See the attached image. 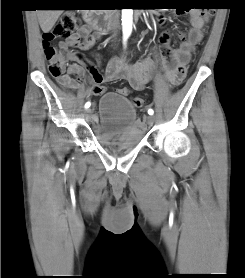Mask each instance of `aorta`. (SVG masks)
<instances>
[{
  "label": "aorta",
  "instance_id": "762f6f07",
  "mask_svg": "<svg viewBox=\"0 0 245 278\" xmlns=\"http://www.w3.org/2000/svg\"><path fill=\"white\" fill-rule=\"evenodd\" d=\"M133 10L122 9V31L124 36H129L132 32Z\"/></svg>",
  "mask_w": 245,
  "mask_h": 278
}]
</instances>
